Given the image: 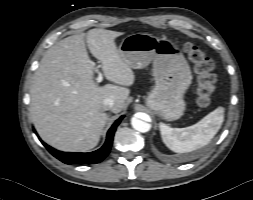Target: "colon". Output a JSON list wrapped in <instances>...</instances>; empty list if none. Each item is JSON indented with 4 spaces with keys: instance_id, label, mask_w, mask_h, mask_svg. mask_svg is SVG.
<instances>
[{
    "instance_id": "5ec220e1",
    "label": "colon",
    "mask_w": 253,
    "mask_h": 200,
    "mask_svg": "<svg viewBox=\"0 0 253 200\" xmlns=\"http://www.w3.org/2000/svg\"><path fill=\"white\" fill-rule=\"evenodd\" d=\"M184 51L194 66L197 74V103L201 107H207L212 101L216 89V77L213 73V61L199 47L186 43Z\"/></svg>"
}]
</instances>
